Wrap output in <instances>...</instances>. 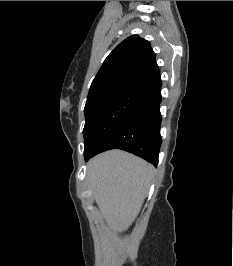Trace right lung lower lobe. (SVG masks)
Wrapping results in <instances>:
<instances>
[{"label":"right lung lower lobe","mask_w":233,"mask_h":266,"mask_svg":"<svg viewBox=\"0 0 233 266\" xmlns=\"http://www.w3.org/2000/svg\"><path fill=\"white\" fill-rule=\"evenodd\" d=\"M161 83L149 91L146 97L102 141L93 152L85 155L88 161L94 155L109 150L122 149L140 156L157 166L162 142L160 136Z\"/></svg>","instance_id":"1"}]
</instances>
